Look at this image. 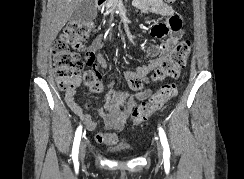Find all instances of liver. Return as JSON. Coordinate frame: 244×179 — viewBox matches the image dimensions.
I'll return each instance as SVG.
<instances>
[{"mask_svg": "<svg viewBox=\"0 0 244 179\" xmlns=\"http://www.w3.org/2000/svg\"><path fill=\"white\" fill-rule=\"evenodd\" d=\"M82 0H57L56 12L52 18V24L50 28V40H55L58 32L62 30L66 22L70 20L72 14L77 10Z\"/></svg>", "mask_w": 244, "mask_h": 179, "instance_id": "obj_1", "label": "liver"}]
</instances>
